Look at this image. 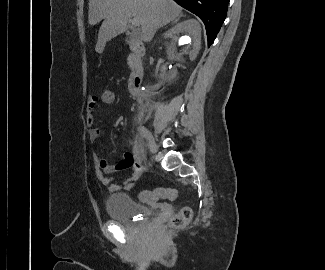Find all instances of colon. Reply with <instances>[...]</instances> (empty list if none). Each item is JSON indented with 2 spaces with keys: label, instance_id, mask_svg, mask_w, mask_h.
Listing matches in <instances>:
<instances>
[{
  "label": "colon",
  "instance_id": "1",
  "mask_svg": "<svg viewBox=\"0 0 325 270\" xmlns=\"http://www.w3.org/2000/svg\"><path fill=\"white\" fill-rule=\"evenodd\" d=\"M101 101L105 105H113L116 101V93L112 89L103 90ZM174 188L158 187L152 190H145L140 193L143 202L155 203L160 199L173 200L176 197ZM192 217V209L188 206L182 207L169 221L172 228H182L189 223Z\"/></svg>",
  "mask_w": 325,
  "mask_h": 270
}]
</instances>
